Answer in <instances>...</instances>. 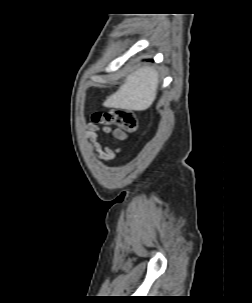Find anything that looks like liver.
I'll list each match as a JSON object with an SVG mask.
<instances>
[{
  "instance_id": "obj_1",
  "label": "liver",
  "mask_w": 252,
  "mask_h": 303,
  "mask_svg": "<svg viewBox=\"0 0 252 303\" xmlns=\"http://www.w3.org/2000/svg\"><path fill=\"white\" fill-rule=\"evenodd\" d=\"M159 74L152 66L142 67L128 75L124 84L104 102L108 108L144 111L157 95Z\"/></svg>"
}]
</instances>
